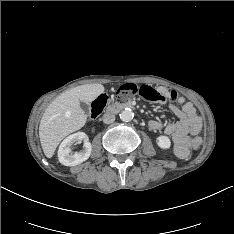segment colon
Listing matches in <instances>:
<instances>
[{"label":"colon","mask_w":234,"mask_h":234,"mask_svg":"<svg viewBox=\"0 0 234 234\" xmlns=\"http://www.w3.org/2000/svg\"><path fill=\"white\" fill-rule=\"evenodd\" d=\"M135 95H140L149 101H156L160 96L158 91L150 86L125 84L118 89L115 99L118 102H125ZM106 104L107 97L104 94L100 95L96 100H94L91 107V117L96 118L102 112ZM202 145V138L197 137L195 138L194 143H192L191 148L192 150L197 151Z\"/></svg>","instance_id":"obj_1"}]
</instances>
